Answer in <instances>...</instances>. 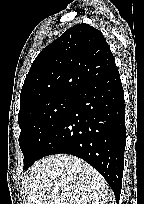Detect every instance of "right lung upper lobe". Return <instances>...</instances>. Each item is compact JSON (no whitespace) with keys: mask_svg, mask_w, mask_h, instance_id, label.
I'll return each instance as SVG.
<instances>
[{"mask_svg":"<svg viewBox=\"0 0 144 204\" xmlns=\"http://www.w3.org/2000/svg\"><path fill=\"white\" fill-rule=\"evenodd\" d=\"M102 33L77 24L44 48L34 60L20 94V111L58 94H77L115 70Z\"/></svg>","mask_w":144,"mask_h":204,"instance_id":"obj_1","label":"right lung upper lobe"}]
</instances>
